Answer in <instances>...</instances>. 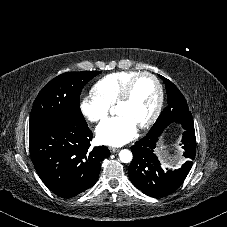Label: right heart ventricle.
I'll return each mask as SVG.
<instances>
[{
    "label": "right heart ventricle",
    "mask_w": 227,
    "mask_h": 227,
    "mask_svg": "<svg viewBox=\"0 0 227 227\" xmlns=\"http://www.w3.org/2000/svg\"><path fill=\"white\" fill-rule=\"evenodd\" d=\"M136 71H118L101 78L93 87L96 96L112 107L120 96L127 82L137 74Z\"/></svg>",
    "instance_id": "1"
}]
</instances>
